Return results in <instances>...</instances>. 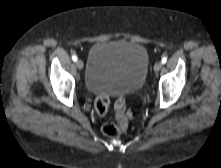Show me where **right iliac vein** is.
I'll list each match as a JSON object with an SVG mask.
<instances>
[{"mask_svg": "<svg viewBox=\"0 0 221 168\" xmlns=\"http://www.w3.org/2000/svg\"><path fill=\"white\" fill-rule=\"evenodd\" d=\"M76 66H77V68H78L79 70H82L83 67H84L83 61H82V60L76 61Z\"/></svg>", "mask_w": 221, "mask_h": 168, "instance_id": "right-iliac-vein-1", "label": "right iliac vein"}]
</instances>
